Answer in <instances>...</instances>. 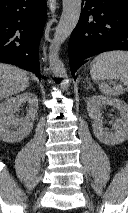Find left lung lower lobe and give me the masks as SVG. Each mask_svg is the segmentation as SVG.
<instances>
[{
  "label": "left lung lower lobe",
  "mask_w": 128,
  "mask_h": 213,
  "mask_svg": "<svg viewBox=\"0 0 128 213\" xmlns=\"http://www.w3.org/2000/svg\"><path fill=\"white\" fill-rule=\"evenodd\" d=\"M69 42L72 76L88 57L128 50V0H85Z\"/></svg>",
  "instance_id": "0a47b994"
}]
</instances>
